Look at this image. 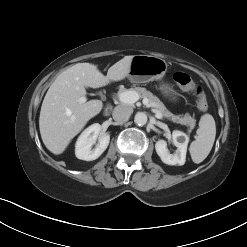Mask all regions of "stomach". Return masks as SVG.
Wrapping results in <instances>:
<instances>
[{"instance_id": "0dacf381", "label": "stomach", "mask_w": 247, "mask_h": 247, "mask_svg": "<svg viewBox=\"0 0 247 247\" xmlns=\"http://www.w3.org/2000/svg\"><path fill=\"white\" fill-rule=\"evenodd\" d=\"M167 62L154 55H135L132 58L128 78L132 83L161 81L167 71ZM164 97L175 102L178 94L168 84L162 82L158 87Z\"/></svg>"}]
</instances>
